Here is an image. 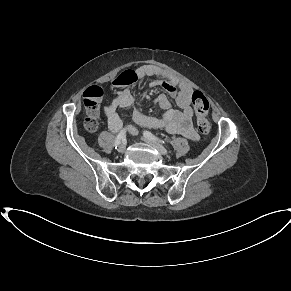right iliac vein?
Here are the masks:
<instances>
[{
	"label": "right iliac vein",
	"instance_id": "1",
	"mask_svg": "<svg viewBox=\"0 0 291 291\" xmlns=\"http://www.w3.org/2000/svg\"><path fill=\"white\" fill-rule=\"evenodd\" d=\"M125 148H126V145H125L124 143H120V144L118 145V151H119L120 153L124 152V151H125Z\"/></svg>",
	"mask_w": 291,
	"mask_h": 291
}]
</instances>
